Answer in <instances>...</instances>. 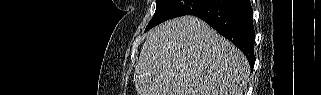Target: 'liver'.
Returning a JSON list of instances; mask_svg holds the SVG:
<instances>
[{
	"instance_id": "6515ba94",
	"label": "liver",
	"mask_w": 321,
	"mask_h": 95,
	"mask_svg": "<svg viewBox=\"0 0 321 95\" xmlns=\"http://www.w3.org/2000/svg\"><path fill=\"white\" fill-rule=\"evenodd\" d=\"M249 75L239 49L188 15L149 31L133 80L138 95H243Z\"/></svg>"
}]
</instances>
